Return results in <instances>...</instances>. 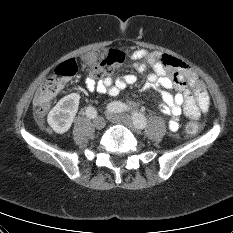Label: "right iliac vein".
I'll list each match as a JSON object with an SVG mask.
<instances>
[{"instance_id":"63e3f726","label":"right iliac vein","mask_w":233,"mask_h":233,"mask_svg":"<svg viewBox=\"0 0 233 233\" xmlns=\"http://www.w3.org/2000/svg\"><path fill=\"white\" fill-rule=\"evenodd\" d=\"M94 126H95L97 129H102V128H104V126H105V120H104L102 117H97V118H95V120H94Z\"/></svg>"}]
</instances>
